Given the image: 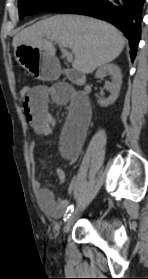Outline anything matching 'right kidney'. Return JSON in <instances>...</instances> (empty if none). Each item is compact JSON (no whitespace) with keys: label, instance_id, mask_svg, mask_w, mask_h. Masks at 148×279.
I'll return each instance as SVG.
<instances>
[{"label":"right kidney","instance_id":"obj_1","mask_svg":"<svg viewBox=\"0 0 148 279\" xmlns=\"http://www.w3.org/2000/svg\"><path fill=\"white\" fill-rule=\"evenodd\" d=\"M107 74H110L112 76V82L106 83V89L110 92V96L108 97V99L98 100V103L101 107H107L116 101L119 96L122 84L121 70L117 65L113 63L103 65L96 71L95 77L102 78L105 77Z\"/></svg>","mask_w":148,"mask_h":279}]
</instances>
